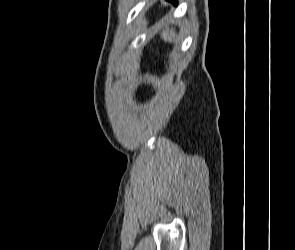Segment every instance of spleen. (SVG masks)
Instances as JSON below:
<instances>
[{
	"label": "spleen",
	"instance_id": "3e777b00",
	"mask_svg": "<svg viewBox=\"0 0 295 250\" xmlns=\"http://www.w3.org/2000/svg\"><path fill=\"white\" fill-rule=\"evenodd\" d=\"M161 38H162L165 42L174 43V42L176 41L177 34H176V32H175L174 29L165 28V29L161 32Z\"/></svg>",
	"mask_w": 295,
	"mask_h": 250
}]
</instances>
